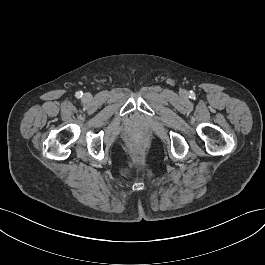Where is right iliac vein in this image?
I'll list each match as a JSON object with an SVG mask.
<instances>
[{"label": "right iliac vein", "mask_w": 265, "mask_h": 265, "mask_svg": "<svg viewBox=\"0 0 265 265\" xmlns=\"http://www.w3.org/2000/svg\"><path fill=\"white\" fill-rule=\"evenodd\" d=\"M85 97H86V98H88V99L90 98V96H89V95H85Z\"/></svg>", "instance_id": "obj_1"}]
</instances>
